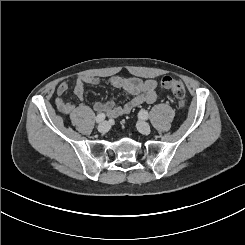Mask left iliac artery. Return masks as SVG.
Instances as JSON below:
<instances>
[{"mask_svg": "<svg viewBox=\"0 0 245 245\" xmlns=\"http://www.w3.org/2000/svg\"><path fill=\"white\" fill-rule=\"evenodd\" d=\"M139 115H140V117L143 118V119H148V112L145 111V110H141V111L139 112Z\"/></svg>", "mask_w": 245, "mask_h": 245, "instance_id": "obj_1", "label": "left iliac artery"}]
</instances>
